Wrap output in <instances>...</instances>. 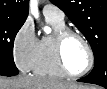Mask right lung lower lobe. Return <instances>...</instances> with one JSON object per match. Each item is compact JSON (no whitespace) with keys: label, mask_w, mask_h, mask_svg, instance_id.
Masks as SVG:
<instances>
[{"label":"right lung lower lobe","mask_w":107,"mask_h":89,"mask_svg":"<svg viewBox=\"0 0 107 89\" xmlns=\"http://www.w3.org/2000/svg\"><path fill=\"white\" fill-rule=\"evenodd\" d=\"M0 75H2V74H0ZM3 75H4V76H14V75H16V74L4 73Z\"/></svg>","instance_id":"right-lung-lower-lobe-1"}]
</instances>
